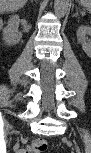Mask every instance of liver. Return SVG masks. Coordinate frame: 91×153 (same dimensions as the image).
I'll return each instance as SVG.
<instances>
[{"instance_id": "liver-1", "label": "liver", "mask_w": 91, "mask_h": 153, "mask_svg": "<svg viewBox=\"0 0 91 153\" xmlns=\"http://www.w3.org/2000/svg\"><path fill=\"white\" fill-rule=\"evenodd\" d=\"M27 0H0L2 11H17L26 4Z\"/></svg>"}]
</instances>
